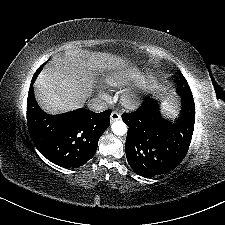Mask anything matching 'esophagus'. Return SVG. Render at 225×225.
Masks as SVG:
<instances>
[{
    "mask_svg": "<svg viewBox=\"0 0 225 225\" xmlns=\"http://www.w3.org/2000/svg\"><path fill=\"white\" fill-rule=\"evenodd\" d=\"M121 119V115L120 113H118L117 111H112L110 114V121H116V120H120Z\"/></svg>",
    "mask_w": 225,
    "mask_h": 225,
    "instance_id": "obj_1",
    "label": "esophagus"
}]
</instances>
